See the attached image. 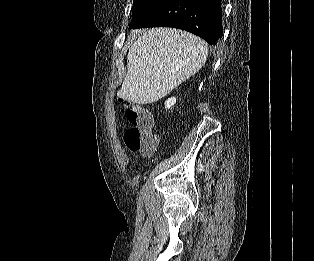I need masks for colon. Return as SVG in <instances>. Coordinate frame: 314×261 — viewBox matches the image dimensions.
Here are the masks:
<instances>
[{
    "instance_id": "1",
    "label": "colon",
    "mask_w": 314,
    "mask_h": 261,
    "mask_svg": "<svg viewBox=\"0 0 314 261\" xmlns=\"http://www.w3.org/2000/svg\"><path fill=\"white\" fill-rule=\"evenodd\" d=\"M123 115L130 124L124 134L126 147L132 152L150 154L157 142L151 112L140 105L125 103Z\"/></svg>"
}]
</instances>
